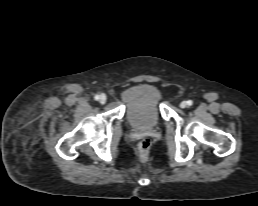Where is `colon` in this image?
Masks as SVG:
<instances>
[{"mask_svg": "<svg viewBox=\"0 0 258 206\" xmlns=\"http://www.w3.org/2000/svg\"><path fill=\"white\" fill-rule=\"evenodd\" d=\"M151 148V141L148 138H145L140 141L138 144V152L142 159H146L149 155Z\"/></svg>", "mask_w": 258, "mask_h": 206, "instance_id": "1", "label": "colon"}]
</instances>
